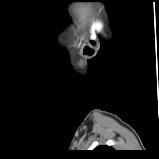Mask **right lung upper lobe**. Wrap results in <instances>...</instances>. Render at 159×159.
Instances as JSON below:
<instances>
[{
  "mask_svg": "<svg viewBox=\"0 0 159 159\" xmlns=\"http://www.w3.org/2000/svg\"><path fill=\"white\" fill-rule=\"evenodd\" d=\"M112 150H113V148H111L109 146H99L94 149V151H96L98 153L108 152V151H112Z\"/></svg>",
  "mask_w": 159,
  "mask_h": 159,
  "instance_id": "1",
  "label": "right lung upper lobe"
}]
</instances>
